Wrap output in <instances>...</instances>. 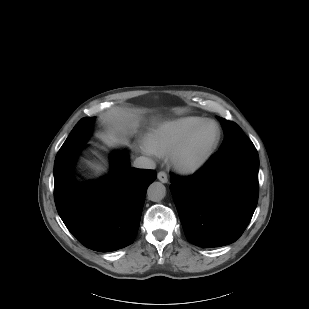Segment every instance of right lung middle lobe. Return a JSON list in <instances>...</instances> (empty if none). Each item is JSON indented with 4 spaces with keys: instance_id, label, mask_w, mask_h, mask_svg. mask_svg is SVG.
<instances>
[{
    "instance_id": "dd1d6c3e",
    "label": "right lung middle lobe",
    "mask_w": 309,
    "mask_h": 309,
    "mask_svg": "<svg viewBox=\"0 0 309 309\" xmlns=\"http://www.w3.org/2000/svg\"><path fill=\"white\" fill-rule=\"evenodd\" d=\"M93 119L94 118L86 117L78 122L58 151L55 158V163L62 160L65 156L78 149L87 141L92 130Z\"/></svg>"
}]
</instances>
